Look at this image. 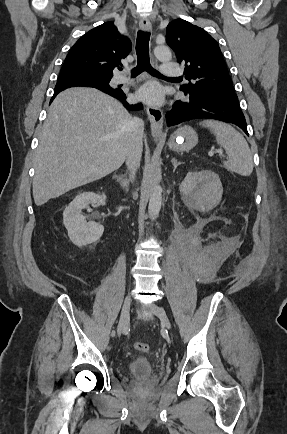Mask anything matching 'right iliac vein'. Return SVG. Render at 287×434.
<instances>
[{"label": "right iliac vein", "mask_w": 287, "mask_h": 434, "mask_svg": "<svg viewBox=\"0 0 287 434\" xmlns=\"http://www.w3.org/2000/svg\"><path fill=\"white\" fill-rule=\"evenodd\" d=\"M130 306H131V297L130 295H127L124 299L119 324L117 327V334L121 335L123 330L126 328V326L129 323L130 320Z\"/></svg>", "instance_id": "obj_1"}]
</instances>
